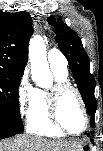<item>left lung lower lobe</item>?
Here are the masks:
<instances>
[{
  "instance_id": "1",
  "label": "left lung lower lobe",
  "mask_w": 103,
  "mask_h": 151,
  "mask_svg": "<svg viewBox=\"0 0 103 151\" xmlns=\"http://www.w3.org/2000/svg\"><path fill=\"white\" fill-rule=\"evenodd\" d=\"M91 125L94 127V116H91Z\"/></svg>"
}]
</instances>
